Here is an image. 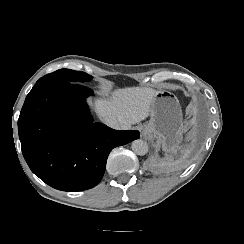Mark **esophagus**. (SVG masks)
I'll list each match as a JSON object with an SVG mask.
<instances>
[{"instance_id": "obj_1", "label": "esophagus", "mask_w": 244, "mask_h": 244, "mask_svg": "<svg viewBox=\"0 0 244 244\" xmlns=\"http://www.w3.org/2000/svg\"><path fill=\"white\" fill-rule=\"evenodd\" d=\"M142 135H143V137H144V138L146 137V133H144V132H143V134H142Z\"/></svg>"}]
</instances>
